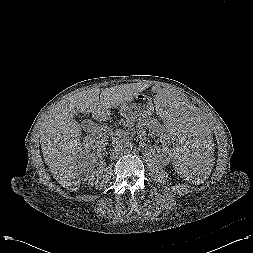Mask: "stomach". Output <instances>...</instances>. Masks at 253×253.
I'll return each instance as SVG.
<instances>
[{
  "label": "stomach",
  "mask_w": 253,
  "mask_h": 253,
  "mask_svg": "<svg viewBox=\"0 0 253 253\" xmlns=\"http://www.w3.org/2000/svg\"><path fill=\"white\" fill-rule=\"evenodd\" d=\"M121 115L130 121H140L153 113L154 105L151 98L138 94L131 101L120 105Z\"/></svg>",
  "instance_id": "stomach-1"
}]
</instances>
